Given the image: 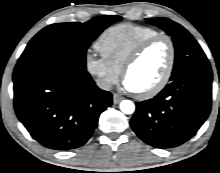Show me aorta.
I'll return each mask as SVG.
<instances>
[{
    "label": "aorta",
    "mask_w": 220,
    "mask_h": 173,
    "mask_svg": "<svg viewBox=\"0 0 220 173\" xmlns=\"http://www.w3.org/2000/svg\"><path fill=\"white\" fill-rule=\"evenodd\" d=\"M120 110L124 113V114H132L135 111V105L132 101L130 100H123L120 103Z\"/></svg>",
    "instance_id": "obj_1"
}]
</instances>
